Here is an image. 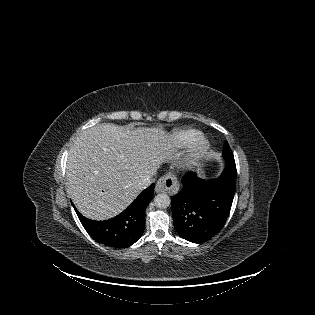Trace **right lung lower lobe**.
Instances as JSON below:
<instances>
[{"instance_id":"98d812e1","label":"right lung lower lobe","mask_w":315,"mask_h":315,"mask_svg":"<svg viewBox=\"0 0 315 315\" xmlns=\"http://www.w3.org/2000/svg\"><path fill=\"white\" fill-rule=\"evenodd\" d=\"M154 183L119 215L105 221H94L75 211L88 232L97 242L114 247L126 248L134 244L142 235L145 227V209L152 200Z\"/></svg>"}]
</instances>
